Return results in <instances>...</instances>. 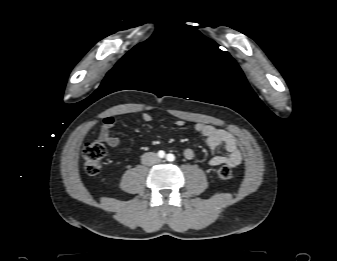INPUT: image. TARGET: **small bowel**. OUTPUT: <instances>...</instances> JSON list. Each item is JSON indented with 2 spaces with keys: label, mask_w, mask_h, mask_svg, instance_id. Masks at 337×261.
<instances>
[{
  "label": "small bowel",
  "mask_w": 337,
  "mask_h": 261,
  "mask_svg": "<svg viewBox=\"0 0 337 261\" xmlns=\"http://www.w3.org/2000/svg\"><path fill=\"white\" fill-rule=\"evenodd\" d=\"M141 119L146 123H150L153 118L149 113H143ZM115 122L116 120L113 116L105 117L99 134L100 139L112 148H116L120 144V139L111 134V129L114 127ZM176 125L183 126L184 121L178 120ZM195 130L205 138L212 153H215L220 147L227 153L226 155H214L210 160L211 166L216 167L226 164L235 168L240 165L242 154L235 137L230 132L206 123H197ZM183 154L186 159H192L195 156L192 148H186Z\"/></svg>",
  "instance_id": "small-bowel-1"
}]
</instances>
